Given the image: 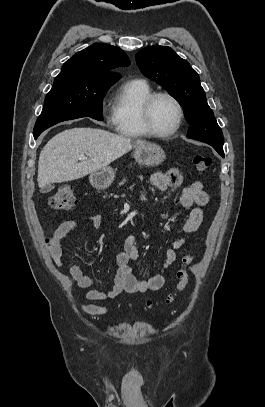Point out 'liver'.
Here are the masks:
<instances>
[{
    "instance_id": "6515ba94",
    "label": "liver",
    "mask_w": 265,
    "mask_h": 407,
    "mask_svg": "<svg viewBox=\"0 0 265 407\" xmlns=\"http://www.w3.org/2000/svg\"><path fill=\"white\" fill-rule=\"evenodd\" d=\"M101 129L72 128L52 137L42 149L38 162V185L77 180L144 144ZM81 155L88 160H80Z\"/></svg>"
}]
</instances>
